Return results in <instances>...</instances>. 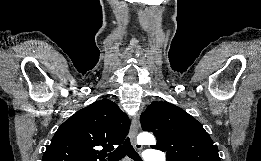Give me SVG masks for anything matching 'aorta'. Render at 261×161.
<instances>
[{"label": "aorta", "mask_w": 261, "mask_h": 161, "mask_svg": "<svg viewBox=\"0 0 261 161\" xmlns=\"http://www.w3.org/2000/svg\"><path fill=\"white\" fill-rule=\"evenodd\" d=\"M137 142L141 145H153L155 144V138L152 134L143 132L138 135Z\"/></svg>", "instance_id": "1"}]
</instances>
